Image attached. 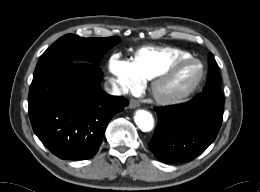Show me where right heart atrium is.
Instances as JSON below:
<instances>
[{"label": "right heart atrium", "instance_id": "1", "mask_svg": "<svg viewBox=\"0 0 260 192\" xmlns=\"http://www.w3.org/2000/svg\"><path fill=\"white\" fill-rule=\"evenodd\" d=\"M109 70L122 90H136L142 84V79L135 71L133 64L121 59L118 55L110 58Z\"/></svg>", "mask_w": 260, "mask_h": 192}]
</instances>
